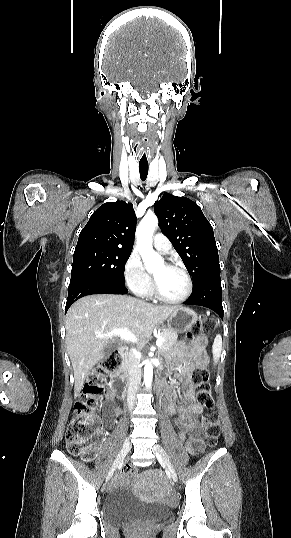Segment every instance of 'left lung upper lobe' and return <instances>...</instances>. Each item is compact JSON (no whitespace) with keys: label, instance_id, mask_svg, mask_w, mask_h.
<instances>
[{"label":"left lung upper lobe","instance_id":"left-lung-upper-lobe-1","mask_svg":"<svg viewBox=\"0 0 291 538\" xmlns=\"http://www.w3.org/2000/svg\"><path fill=\"white\" fill-rule=\"evenodd\" d=\"M163 234L183 260L193 279V289L220 276L213 228L201 208L186 197L165 193L154 206Z\"/></svg>","mask_w":291,"mask_h":538}]
</instances>
